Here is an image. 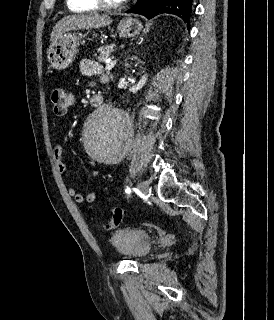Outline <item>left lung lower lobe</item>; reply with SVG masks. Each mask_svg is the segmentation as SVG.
I'll return each instance as SVG.
<instances>
[{
    "label": "left lung lower lobe",
    "mask_w": 274,
    "mask_h": 320,
    "mask_svg": "<svg viewBox=\"0 0 274 320\" xmlns=\"http://www.w3.org/2000/svg\"><path fill=\"white\" fill-rule=\"evenodd\" d=\"M192 7L193 0H138L132 8L127 10V13L141 14L148 19L159 13L175 14L183 18L189 26Z\"/></svg>",
    "instance_id": "obj_1"
}]
</instances>
